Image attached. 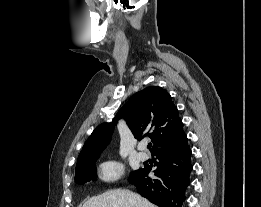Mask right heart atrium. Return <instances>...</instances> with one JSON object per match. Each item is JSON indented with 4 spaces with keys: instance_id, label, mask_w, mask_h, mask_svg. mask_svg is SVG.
I'll use <instances>...</instances> for the list:
<instances>
[{
    "instance_id": "d8ad5b80",
    "label": "right heart atrium",
    "mask_w": 261,
    "mask_h": 207,
    "mask_svg": "<svg viewBox=\"0 0 261 207\" xmlns=\"http://www.w3.org/2000/svg\"><path fill=\"white\" fill-rule=\"evenodd\" d=\"M123 174V165L117 160H108L100 165L99 175L104 181H115Z\"/></svg>"
}]
</instances>
